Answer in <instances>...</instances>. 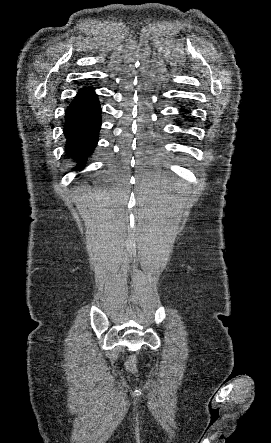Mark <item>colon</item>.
<instances>
[{
    "label": "colon",
    "mask_w": 271,
    "mask_h": 443,
    "mask_svg": "<svg viewBox=\"0 0 271 443\" xmlns=\"http://www.w3.org/2000/svg\"><path fill=\"white\" fill-rule=\"evenodd\" d=\"M126 369L131 373L137 372V359L135 356H130L126 362Z\"/></svg>",
    "instance_id": "obj_1"
}]
</instances>
